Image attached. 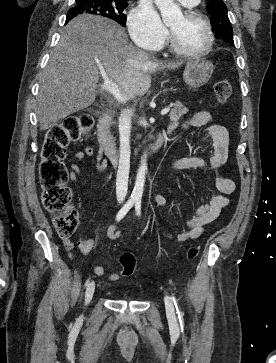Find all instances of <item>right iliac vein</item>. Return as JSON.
I'll return each mask as SVG.
<instances>
[{"mask_svg": "<svg viewBox=\"0 0 276 363\" xmlns=\"http://www.w3.org/2000/svg\"><path fill=\"white\" fill-rule=\"evenodd\" d=\"M95 291V283L92 281L88 284L85 292V304H89L92 300L93 294Z\"/></svg>", "mask_w": 276, "mask_h": 363, "instance_id": "right-iliac-vein-1", "label": "right iliac vein"}]
</instances>
